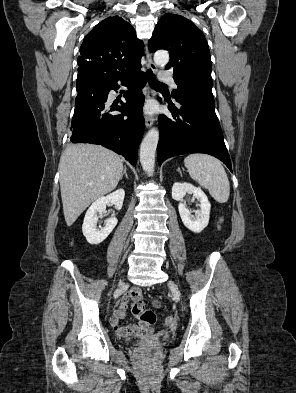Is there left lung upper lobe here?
I'll use <instances>...</instances> for the list:
<instances>
[{"mask_svg":"<svg viewBox=\"0 0 296 393\" xmlns=\"http://www.w3.org/2000/svg\"><path fill=\"white\" fill-rule=\"evenodd\" d=\"M149 50L170 52L166 69L173 67L178 88L172 96L188 93L212 94L211 58L203 33L188 19L166 14L157 23L148 43Z\"/></svg>","mask_w":296,"mask_h":393,"instance_id":"1","label":"left lung upper lobe"}]
</instances>
